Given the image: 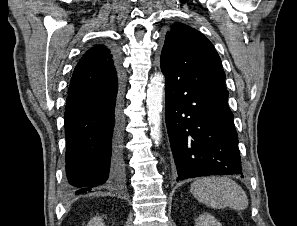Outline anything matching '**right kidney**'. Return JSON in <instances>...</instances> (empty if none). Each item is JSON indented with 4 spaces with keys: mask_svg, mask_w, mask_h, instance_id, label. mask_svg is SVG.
Wrapping results in <instances>:
<instances>
[{
    "mask_svg": "<svg viewBox=\"0 0 297 226\" xmlns=\"http://www.w3.org/2000/svg\"><path fill=\"white\" fill-rule=\"evenodd\" d=\"M87 226H105L101 217H93Z\"/></svg>",
    "mask_w": 297,
    "mask_h": 226,
    "instance_id": "obj_1",
    "label": "right kidney"
}]
</instances>
